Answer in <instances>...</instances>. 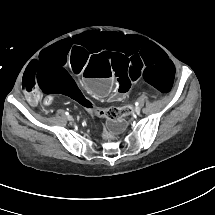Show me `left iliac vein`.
Listing matches in <instances>:
<instances>
[{
    "label": "left iliac vein",
    "mask_w": 215,
    "mask_h": 215,
    "mask_svg": "<svg viewBox=\"0 0 215 215\" xmlns=\"http://www.w3.org/2000/svg\"><path fill=\"white\" fill-rule=\"evenodd\" d=\"M134 112L138 114L140 112V108L136 107L135 110H134Z\"/></svg>",
    "instance_id": "1"
}]
</instances>
